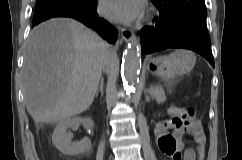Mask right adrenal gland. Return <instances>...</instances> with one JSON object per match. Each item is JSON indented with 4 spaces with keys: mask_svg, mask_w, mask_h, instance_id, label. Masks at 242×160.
I'll return each instance as SVG.
<instances>
[{
    "mask_svg": "<svg viewBox=\"0 0 242 160\" xmlns=\"http://www.w3.org/2000/svg\"><path fill=\"white\" fill-rule=\"evenodd\" d=\"M103 85H104V79L103 78H101V81H100V86H99V88L97 89V91H96V97L98 96V94H99V91L101 92V94L103 95Z\"/></svg>",
    "mask_w": 242,
    "mask_h": 160,
    "instance_id": "1",
    "label": "right adrenal gland"
}]
</instances>
